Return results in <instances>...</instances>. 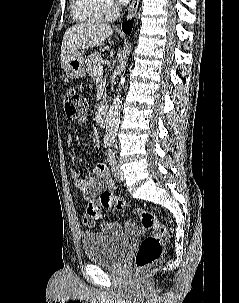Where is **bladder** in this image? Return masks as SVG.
I'll list each match as a JSON object with an SVG mask.
<instances>
[{"label": "bladder", "mask_w": 239, "mask_h": 303, "mask_svg": "<svg viewBox=\"0 0 239 303\" xmlns=\"http://www.w3.org/2000/svg\"><path fill=\"white\" fill-rule=\"evenodd\" d=\"M134 239V234L86 233L82 238V246L88 261L103 266H116Z\"/></svg>", "instance_id": "1"}]
</instances>
